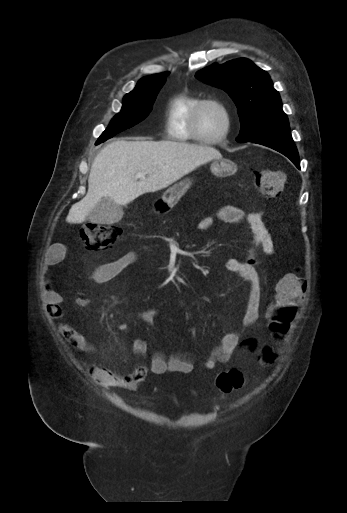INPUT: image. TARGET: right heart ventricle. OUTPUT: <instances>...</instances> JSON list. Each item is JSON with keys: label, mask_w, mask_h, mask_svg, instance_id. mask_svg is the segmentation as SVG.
Instances as JSON below:
<instances>
[{"label": "right heart ventricle", "mask_w": 347, "mask_h": 513, "mask_svg": "<svg viewBox=\"0 0 347 513\" xmlns=\"http://www.w3.org/2000/svg\"><path fill=\"white\" fill-rule=\"evenodd\" d=\"M202 98L189 92H180L174 95L167 108L166 133L176 142L201 143L190 130V121L193 110Z\"/></svg>", "instance_id": "right-heart-ventricle-1"}]
</instances>
